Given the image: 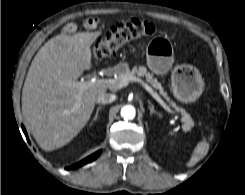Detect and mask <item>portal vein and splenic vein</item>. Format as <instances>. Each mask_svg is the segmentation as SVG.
<instances>
[{
    "label": "portal vein and splenic vein",
    "mask_w": 245,
    "mask_h": 195,
    "mask_svg": "<svg viewBox=\"0 0 245 195\" xmlns=\"http://www.w3.org/2000/svg\"><path fill=\"white\" fill-rule=\"evenodd\" d=\"M129 82H138L140 83L146 91H148L152 97L168 112L175 113L163 100L162 98L141 78L138 77H129L124 78L120 83H118L115 79H96L92 78L88 81H82L81 83L85 86H101V87H108V88H123L128 85Z\"/></svg>",
    "instance_id": "18ae733b"
}]
</instances>
